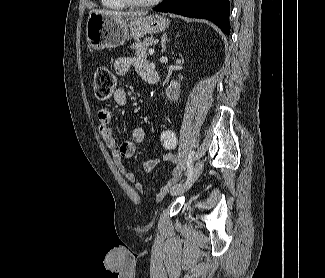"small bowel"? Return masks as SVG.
<instances>
[{
	"label": "small bowel",
	"mask_w": 325,
	"mask_h": 278,
	"mask_svg": "<svg viewBox=\"0 0 325 278\" xmlns=\"http://www.w3.org/2000/svg\"><path fill=\"white\" fill-rule=\"evenodd\" d=\"M148 65L149 62L143 58L120 57L114 62V69L120 76H124L134 69L135 72L144 79L145 70ZM113 99L119 107H125L127 105L128 99L126 92L121 88L115 92ZM111 117V112L107 108L99 109L98 120L100 133L103 136L105 144L113 155L117 168L123 173L129 182L135 183L138 190H143V184L136 182L135 173L126 168V166L123 164V159L132 157L137 147L144 142L145 130L143 127H136L129 139L121 141L111 129ZM171 133H173L176 137L173 131L165 130L161 133L160 138ZM161 162H168L173 165L172 177L167 180L163 187L155 191L156 196L164 195L169 186H171L181 177L178 167L179 160L172 152H165L158 157L147 160L144 164V169L146 172L151 173Z\"/></svg>",
	"instance_id": "small-bowel-1"
}]
</instances>
